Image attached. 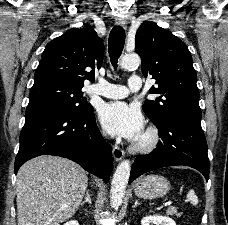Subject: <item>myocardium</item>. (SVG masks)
I'll list each match as a JSON object with an SVG mask.
<instances>
[{"label": "myocardium", "instance_id": "obj_1", "mask_svg": "<svg viewBox=\"0 0 228 225\" xmlns=\"http://www.w3.org/2000/svg\"><path fill=\"white\" fill-rule=\"evenodd\" d=\"M159 141L160 137L158 130L155 127H149L131 148L137 152H150L157 147Z\"/></svg>", "mask_w": 228, "mask_h": 225}]
</instances>
